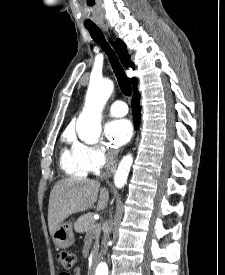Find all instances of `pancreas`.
I'll return each instance as SVG.
<instances>
[{"label": "pancreas", "mask_w": 225, "mask_h": 275, "mask_svg": "<svg viewBox=\"0 0 225 275\" xmlns=\"http://www.w3.org/2000/svg\"><path fill=\"white\" fill-rule=\"evenodd\" d=\"M74 229L78 233H86L88 236L95 237L98 241L100 225L93 219V214L87 213L80 216L74 223Z\"/></svg>", "instance_id": "cf45deb5"}]
</instances>
